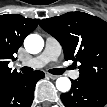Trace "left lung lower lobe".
I'll return each mask as SVG.
<instances>
[{
	"mask_svg": "<svg viewBox=\"0 0 107 107\" xmlns=\"http://www.w3.org/2000/svg\"><path fill=\"white\" fill-rule=\"evenodd\" d=\"M72 83L71 90L61 95L66 107H103L107 103V87L79 78Z\"/></svg>",
	"mask_w": 107,
	"mask_h": 107,
	"instance_id": "obj_1",
	"label": "left lung lower lobe"
}]
</instances>
